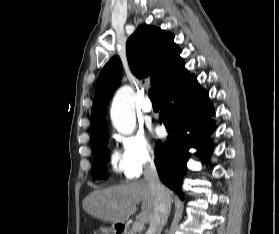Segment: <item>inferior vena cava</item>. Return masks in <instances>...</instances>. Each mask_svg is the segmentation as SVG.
<instances>
[{"mask_svg": "<svg viewBox=\"0 0 279 234\" xmlns=\"http://www.w3.org/2000/svg\"><path fill=\"white\" fill-rule=\"evenodd\" d=\"M144 177L150 186L154 204V212L150 219V225L146 234H160L170 213V194L165 186L160 182L153 160H150L146 165Z\"/></svg>", "mask_w": 279, "mask_h": 234, "instance_id": "602c4592", "label": "inferior vena cava"}]
</instances>
